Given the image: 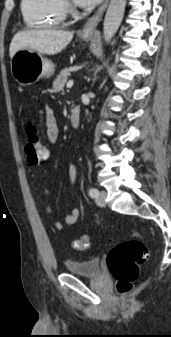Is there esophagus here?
I'll use <instances>...</instances> for the list:
<instances>
[{"mask_svg":"<svg viewBox=\"0 0 171 337\" xmlns=\"http://www.w3.org/2000/svg\"><path fill=\"white\" fill-rule=\"evenodd\" d=\"M109 0H105L104 3L98 8V10L93 14L91 18L84 25L81 34L85 36L92 35L99 22L101 21L103 14L108 6Z\"/></svg>","mask_w":171,"mask_h":337,"instance_id":"1","label":"esophagus"}]
</instances>
